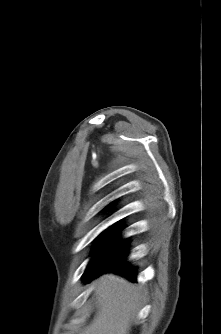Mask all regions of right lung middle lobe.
I'll list each match as a JSON object with an SVG mask.
<instances>
[{
    "instance_id": "dd1d6c3e",
    "label": "right lung middle lobe",
    "mask_w": 221,
    "mask_h": 334,
    "mask_svg": "<svg viewBox=\"0 0 221 334\" xmlns=\"http://www.w3.org/2000/svg\"><path fill=\"white\" fill-rule=\"evenodd\" d=\"M119 230L120 229L117 228L115 224H113L96 238L97 249L95 256L91 259L84 273V277L108 265L114 258H116L127 248V239H117Z\"/></svg>"
}]
</instances>
